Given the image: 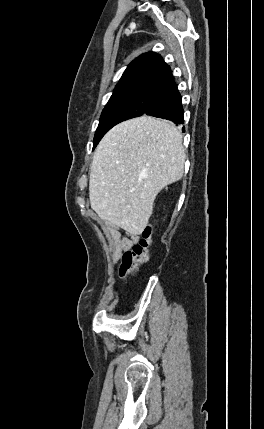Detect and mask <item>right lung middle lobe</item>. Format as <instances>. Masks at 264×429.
<instances>
[{
    "instance_id": "1",
    "label": "right lung middle lobe",
    "mask_w": 264,
    "mask_h": 429,
    "mask_svg": "<svg viewBox=\"0 0 264 429\" xmlns=\"http://www.w3.org/2000/svg\"><path fill=\"white\" fill-rule=\"evenodd\" d=\"M162 88L141 86L114 91L103 109L96 130L93 149L105 133L116 124L143 115Z\"/></svg>"
}]
</instances>
